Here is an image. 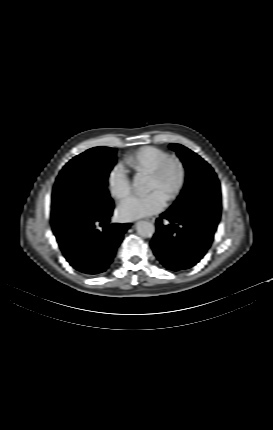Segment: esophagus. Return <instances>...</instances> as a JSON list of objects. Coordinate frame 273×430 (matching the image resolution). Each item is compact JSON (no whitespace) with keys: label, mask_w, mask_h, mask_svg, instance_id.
<instances>
[{"label":"esophagus","mask_w":273,"mask_h":430,"mask_svg":"<svg viewBox=\"0 0 273 430\" xmlns=\"http://www.w3.org/2000/svg\"><path fill=\"white\" fill-rule=\"evenodd\" d=\"M147 220L153 223L155 221V218L150 217V218H147Z\"/></svg>","instance_id":"34e87169"}]
</instances>
